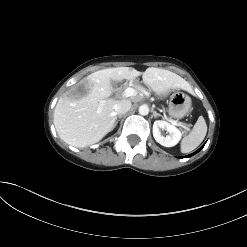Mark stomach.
<instances>
[{
  "label": "stomach",
  "mask_w": 247,
  "mask_h": 247,
  "mask_svg": "<svg viewBox=\"0 0 247 247\" xmlns=\"http://www.w3.org/2000/svg\"><path fill=\"white\" fill-rule=\"evenodd\" d=\"M191 105V98L187 94L179 90L174 91L170 96L168 113L173 118H183L186 114L189 113Z\"/></svg>",
  "instance_id": "stomach-1"
}]
</instances>
